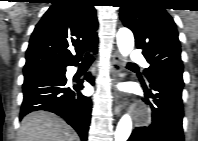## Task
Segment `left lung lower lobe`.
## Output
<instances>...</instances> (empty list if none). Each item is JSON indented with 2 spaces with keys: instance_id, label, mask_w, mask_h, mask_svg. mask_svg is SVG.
Instances as JSON below:
<instances>
[{
  "instance_id": "0a47b994",
  "label": "left lung lower lobe",
  "mask_w": 198,
  "mask_h": 141,
  "mask_svg": "<svg viewBox=\"0 0 198 141\" xmlns=\"http://www.w3.org/2000/svg\"><path fill=\"white\" fill-rule=\"evenodd\" d=\"M143 87L146 97L143 101L151 107L152 123L136 128L128 141H183V79L161 74L149 81L150 88L144 83Z\"/></svg>"
}]
</instances>
